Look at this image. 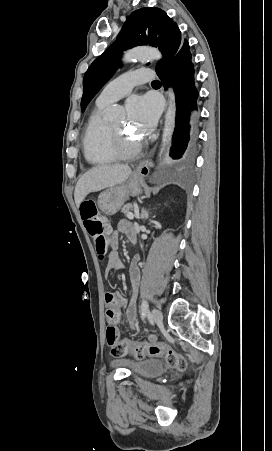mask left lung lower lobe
<instances>
[{"label":"left lung lower lobe","instance_id":"1","mask_svg":"<svg viewBox=\"0 0 272 451\" xmlns=\"http://www.w3.org/2000/svg\"><path fill=\"white\" fill-rule=\"evenodd\" d=\"M165 88L171 84L176 96V120L170 156L177 168L189 165L194 157L197 139V98L194 64L188 41L183 40L171 61L157 71Z\"/></svg>","mask_w":272,"mask_h":451}]
</instances>
